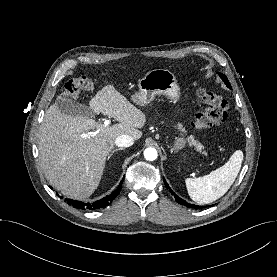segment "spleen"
Listing matches in <instances>:
<instances>
[{
    "label": "spleen",
    "mask_w": 277,
    "mask_h": 277,
    "mask_svg": "<svg viewBox=\"0 0 277 277\" xmlns=\"http://www.w3.org/2000/svg\"><path fill=\"white\" fill-rule=\"evenodd\" d=\"M243 161V152L237 150L220 168L199 178H187L190 198L198 204H208L222 197L235 181Z\"/></svg>",
    "instance_id": "3e777b00"
}]
</instances>
